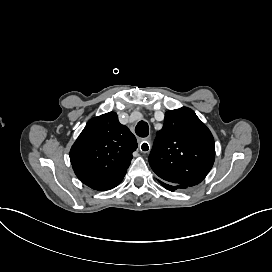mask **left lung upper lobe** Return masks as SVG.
<instances>
[{
    "instance_id": "1",
    "label": "left lung upper lobe",
    "mask_w": 272,
    "mask_h": 272,
    "mask_svg": "<svg viewBox=\"0 0 272 272\" xmlns=\"http://www.w3.org/2000/svg\"><path fill=\"white\" fill-rule=\"evenodd\" d=\"M215 159L214 138L207 126L187 107L165 113L149 164L159 179L182 188L199 184Z\"/></svg>"
}]
</instances>
